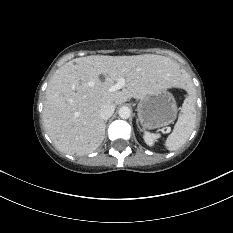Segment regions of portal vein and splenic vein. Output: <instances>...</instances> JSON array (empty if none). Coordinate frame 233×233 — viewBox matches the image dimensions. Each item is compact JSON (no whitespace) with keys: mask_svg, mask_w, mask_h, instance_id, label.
Returning a JSON list of instances; mask_svg holds the SVG:
<instances>
[{"mask_svg":"<svg viewBox=\"0 0 233 233\" xmlns=\"http://www.w3.org/2000/svg\"><path fill=\"white\" fill-rule=\"evenodd\" d=\"M125 86V79L120 78L114 85L109 88V92H115L122 89Z\"/></svg>","mask_w":233,"mask_h":233,"instance_id":"1","label":"portal vein and splenic vein"}]
</instances>
